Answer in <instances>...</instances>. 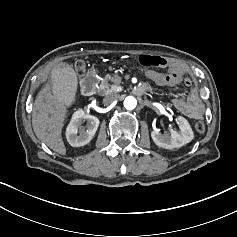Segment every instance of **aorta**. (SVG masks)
<instances>
[{
    "instance_id": "obj_1",
    "label": "aorta",
    "mask_w": 237,
    "mask_h": 237,
    "mask_svg": "<svg viewBox=\"0 0 237 237\" xmlns=\"http://www.w3.org/2000/svg\"><path fill=\"white\" fill-rule=\"evenodd\" d=\"M123 104H124L125 109L134 110L137 105V101L134 97L129 96L125 98Z\"/></svg>"
}]
</instances>
